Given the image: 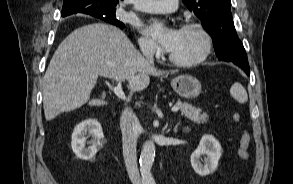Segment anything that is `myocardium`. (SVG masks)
Returning a JSON list of instances; mask_svg holds the SVG:
<instances>
[{
  "label": "myocardium",
  "instance_id": "obj_1",
  "mask_svg": "<svg viewBox=\"0 0 293 184\" xmlns=\"http://www.w3.org/2000/svg\"><path fill=\"white\" fill-rule=\"evenodd\" d=\"M181 30H196L201 35L204 43L202 52L197 57L191 60H180L175 58L171 53H169L168 59L170 60V62L182 67H191L205 61L210 55L213 48V39L209 31L202 24L197 22L185 23L181 27Z\"/></svg>",
  "mask_w": 293,
  "mask_h": 184
}]
</instances>
